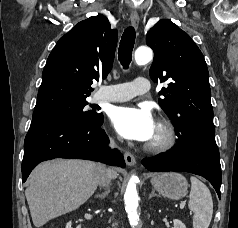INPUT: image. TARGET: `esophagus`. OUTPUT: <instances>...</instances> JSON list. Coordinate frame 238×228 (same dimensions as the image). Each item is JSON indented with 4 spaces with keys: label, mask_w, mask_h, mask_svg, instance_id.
Instances as JSON below:
<instances>
[{
    "label": "esophagus",
    "mask_w": 238,
    "mask_h": 228,
    "mask_svg": "<svg viewBox=\"0 0 238 228\" xmlns=\"http://www.w3.org/2000/svg\"><path fill=\"white\" fill-rule=\"evenodd\" d=\"M130 20H131V23H132V26L137 29L138 26H139V22H140V19H139V15H138V12L136 10H133L131 12V15H130ZM124 158H125V162L128 166H133L135 165L136 163V159L134 157L133 154H131L130 152H126L124 154Z\"/></svg>",
    "instance_id": "obj_1"
}]
</instances>
